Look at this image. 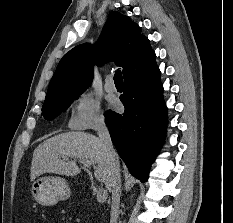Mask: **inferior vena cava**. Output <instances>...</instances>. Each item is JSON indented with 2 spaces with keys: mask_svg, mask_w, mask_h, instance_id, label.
<instances>
[{
  "mask_svg": "<svg viewBox=\"0 0 233 223\" xmlns=\"http://www.w3.org/2000/svg\"><path fill=\"white\" fill-rule=\"evenodd\" d=\"M97 133L99 135L100 143L102 149L106 151L110 159V167L112 171L110 183L108 189L112 193L111 201V211H110V221L109 223H117L119 215V205H120V187H121V175H120V165L118 153L113 149L110 133L108 127L104 123V119H100Z\"/></svg>",
  "mask_w": 233,
  "mask_h": 223,
  "instance_id": "602c4592",
  "label": "inferior vena cava"
}]
</instances>
